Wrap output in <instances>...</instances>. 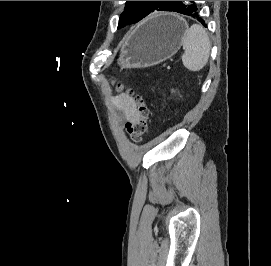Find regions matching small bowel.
I'll return each instance as SVG.
<instances>
[{
    "instance_id": "obj_1",
    "label": "small bowel",
    "mask_w": 271,
    "mask_h": 266,
    "mask_svg": "<svg viewBox=\"0 0 271 266\" xmlns=\"http://www.w3.org/2000/svg\"><path fill=\"white\" fill-rule=\"evenodd\" d=\"M114 104L122 111L127 122H132L138 117L136 104L127 95H119L114 98Z\"/></svg>"
}]
</instances>
